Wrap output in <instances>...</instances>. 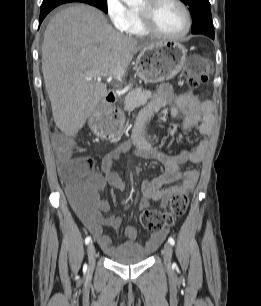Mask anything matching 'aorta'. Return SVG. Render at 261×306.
I'll use <instances>...</instances> for the list:
<instances>
[{
  "label": "aorta",
  "mask_w": 261,
  "mask_h": 306,
  "mask_svg": "<svg viewBox=\"0 0 261 306\" xmlns=\"http://www.w3.org/2000/svg\"><path fill=\"white\" fill-rule=\"evenodd\" d=\"M122 1L125 2L128 6H136L142 2V0H122Z\"/></svg>",
  "instance_id": "1"
}]
</instances>
